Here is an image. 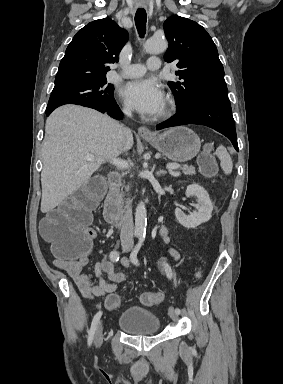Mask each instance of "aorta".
I'll list each match as a JSON object with an SVG mask.
<instances>
[{"mask_svg": "<svg viewBox=\"0 0 283 384\" xmlns=\"http://www.w3.org/2000/svg\"><path fill=\"white\" fill-rule=\"evenodd\" d=\"M168 43L165 39L152 37L148 39L144 45V49L150 54H159L166 51ZM147 225V211L145 203L139 202L135 212V235L137 237H143L146 234Z\"/></svg>", "mask_w": 283, "mask_h": 384, "instance_id": "aorta-1", "label": "aorta"}]
</instances>
